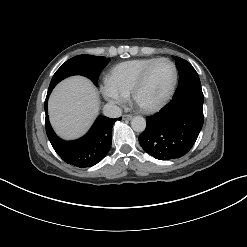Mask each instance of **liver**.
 <instances>
[{"mask_svg": "<svg viewBox=\"0 0 247 247\" xmlns=\"http://www.w3.org/2000/svg\"><path fill=\"white\" fill-rule=\"evenodd\" d=\"M48 110L50 122L60 137L78 138L89 129L98 113V92L87 78L69 77L53 90Z\"/></svg>", "mask_w": 247, "mask_h": 247, "instance_id": "obj_1", "label": "liver"}]
</instances>
